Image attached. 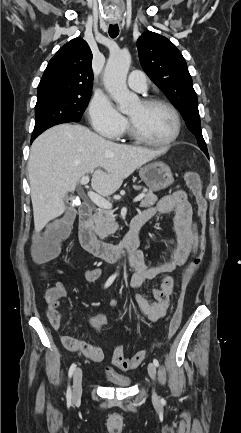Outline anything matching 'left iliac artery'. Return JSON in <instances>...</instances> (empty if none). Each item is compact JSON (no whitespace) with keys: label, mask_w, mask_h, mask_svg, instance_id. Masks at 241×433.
I'll use <instances>...</instances> for the list:
<instances>
[{"label":"left iliac artery","mask_w":241,"mask_h":433,"mask_svg":"<svg viewBox=\"0 0 241 433\" xmlns=\"http://www.w3.org/2000/svg\"><path fill=\"white\" fill-rule=\"evenodd\" d=\"M153 363H154V365H155L156 367H158V366H159V362H158V360H157V359H153Z\"/></svg>","instance_id":"left-iliac-artery-1"}]
</instances>
